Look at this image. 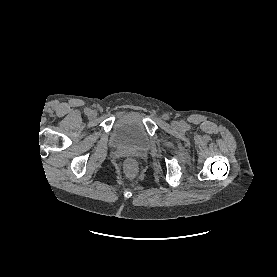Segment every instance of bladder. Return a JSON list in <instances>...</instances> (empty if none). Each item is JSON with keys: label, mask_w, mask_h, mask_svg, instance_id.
I'll return each mask as SVG.
<instances>
[{"label": "bladder", "mask_w": 277, "mask_h": 277, "mask_svg": "<svg viewBox=\"0 0 277 277\" xmlns=\"http://www.w3.org/2000/svg\"><path fill=\"white\" fill-rule=\"evenodd\" d=\"M111 143L117 148L143 151L150 145V136L138 112L120 113L113 125Z\"/></svg>", "instance_id": "bladder-1"}]
</instances>
